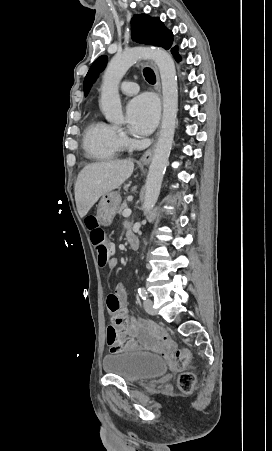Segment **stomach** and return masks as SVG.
Returning a JSON list of instances; mask_svg holds the SVG:
<instances>
[{
  "instance_id": "0dacf381",
  "label": "stomach",
  "mask_w": 272,
  "mask_h": 451,
  "mask_svg": "<svg viewBox=\"0 0 272 451\" xmlns=\"http://www.w3.org/2000/svg\"><path fill=\"white\" fill-rule=\"evenodd\" d=\"M121 204V196L117 192H106L97 206V220L101 226H110Z\"/></svg>"
}]
</instances>
